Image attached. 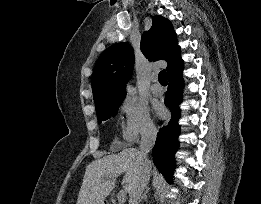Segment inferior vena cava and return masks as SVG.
Here are the masks:
<instances>
[{
  "label": "inferior vena cava",
  "mask_w": 261,
  "mask_h": 204,
  "mask_svg": "<svg viewBox=\"0 0 261 204\" xmlns=\"http://www.w3.org/2000/svg\"><path fill=\"white\" fill-rule=\"evenodd\" d=\"M157 136L156 128H149L143 135L139 145V154L141 158V165L143 168V175L137 184L136 188L130 195L129 204H138L139 198L143 193L150 177V161L148 153L151 151Z\"/></svg>",
  "instance_id": "obj_1"
}]
</instances>
